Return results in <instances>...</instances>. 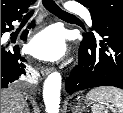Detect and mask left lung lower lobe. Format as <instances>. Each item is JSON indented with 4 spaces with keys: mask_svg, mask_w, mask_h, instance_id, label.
I'll return each mask as SVG.
<instances>
[{
    "mask_svg": "<svg viewBox=\"0 0 123 113\" xmlns=\"http://www.w3.org/2000/svg\"><path fill=\"white\" fill-rule=\"evenodd\" d=\"M88 9L93 17L95 11ZM92 22L96 35H83L78 65L66 80L67 93L98 86L123 89V19L106 14Z\"/></svg>",
    "mask_w": 123,
    "mask_h": 113,
    "instance_id": "0a47b994",
    "label": "left lung lower lobe"
}]
</instances>
